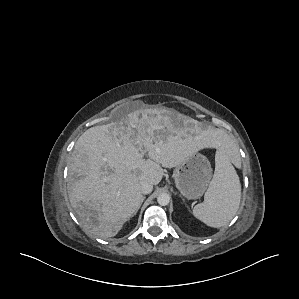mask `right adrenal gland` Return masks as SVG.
Masks as SVG:
<instances>
[{"mask_svg": "<svg viewBox=\"0 0 299 299\" xmlns=\"http://www.w3.org/2000/svg\"><path fill=\"white\" fill-rule=\"evenodd\" d=\"M145 198H146V197H145V196H143V197H142V201H144V200H145ZM136 213H137V212H135V213H134V215H135Z\"/></svg>", "mask_w": 299, "mask_h": 299, "instance_id": "1", "label": "right adrenal gland"}]
</instances>
